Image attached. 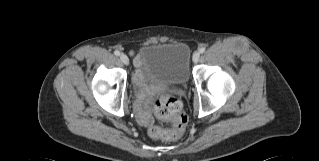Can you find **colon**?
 Masks as SVG:
<instances>
[{"mask_svg": "<svg viewBox=\"0 0 319 161\" xmlns=\"http://www.w3.org/2000/svg\"><path fill=\"white\" fill-rule=\"evenodd\" d=\"M152 109L160 120L172 124L171 129L159 125L152 127L151 134L154 137L175 141L184 134L187 116L183 112V104L178 98L170 95L156 96L152 100Z\"/></svg>", "mask_w": 319, "mask_h": 161, "instance_id": "5ec220e1", "label": "colon"}]
</instances>
